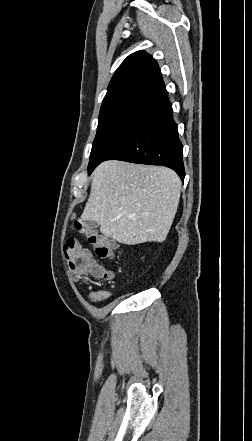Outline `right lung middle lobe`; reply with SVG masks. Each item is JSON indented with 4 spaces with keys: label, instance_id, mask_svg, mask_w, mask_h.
Masks as SVG:
<instances>
[{
    "label": "right lung middle lobe",
    "instance_id": "dd1d6c3e",
    "mask_svg": "<svg viewBox=\"0 0 252 441\" xmlns=\"http://www.w3.org/2000/svg\"><path fill=\"white\" fill-rule=\"evenodd\" d=\"M145 105L146 100H138L100 111L88 172L104 161L125 139L140 118Z\"/></svg>",
    "mask_w": 252,
    "mask_h": 441
}]
</instances>
